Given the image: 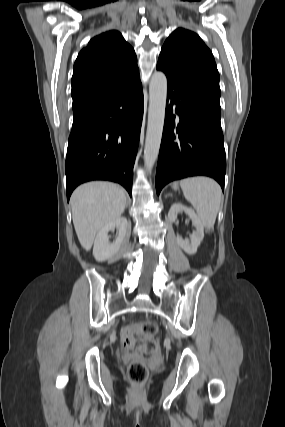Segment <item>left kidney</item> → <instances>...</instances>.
Returning <instances> with one entry per match:
<instances>
[{"label": "left kidney", "instance_id": "left-kidney-1", "mask_svg": "<svg viewBox=\"0 0 285 427\" xmlns=\"http://www.w3.org/2000/svg\"><path fill=\"white\" fill-rule=\"evenodd\" d=\"M182 212H185L192 220V224L195 226L196 231L190 235V240H183L181 237H177V243L187 254L193 255L197 252V248L204 238V227L192 209L187 208L186 206H183L179 203L173 204L171 206L168 212V219L171 222H175L177 215Z\"/></svg>", "mask_w": 285, "mask_h": 427}]
</instances>
